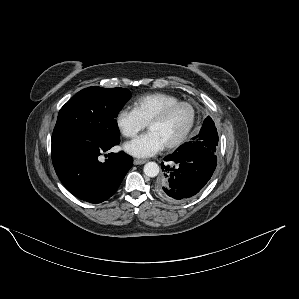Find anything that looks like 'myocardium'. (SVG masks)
<instances>
[{
  "mask_svg": "<svg viewBox=\"0 0 299 299\" xmlns=\"http://www.w3.org/2000/svg\"><path fill=\"white\" fill-rule=\"evenodd\" d=\"M182 106H187L190 108V110L192 112L191 121H190L189 125L187 126V128L182 132V134L177 139H175L174 141L165 145L166 149L177 148L187 140V138L191 134V132L196 124V120H197L196 106L192 102H189V101H178L176 103H173V104H170V105L164 107L147 123L148 128L153 124L160 123V122L164 121L173 111H175L176 109H178L179 107H182Z\"/></svg>",
  "mask_w": 299,
  "mask_h": 299,
  "instance_id": "f54148a6",
  "label": "myocardium"
}]
</instances>
